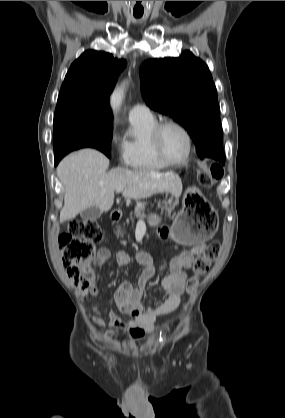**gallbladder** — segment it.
<instances>
[{"label":"gallbladder","instance_id":"gallbladder-1","mask_svg":"<svg viewBox=\"0 0 285 418\" xmlns=\"http://www.w3.org/2000/svg\"><path fill=\"white\" fill-rule=\"evenodd\" d=\"M102 211L97 206H91L83 210L80 215L84 221H93L100 218Z\"/></svg>","mask_w":285,"mask_h":418}]
</instances>
